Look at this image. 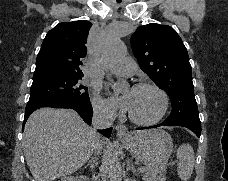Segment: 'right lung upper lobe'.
<instances>
[{"mask_svg":"<svg viewBox=\"0 0 228 181\" xmlns=\"http://www.w3.org/2000/svg\"><path fill=\"white\" fill-rule=\"evenodd\" d=\"M86 20L62 22L50 30L36 59L34 77L56 74L83 75L86 41L91 27Z\"/></svg>","mask_w":228,"mask_h":181,"instance_id":"obj_1","label":"right lung upper lobe"}]
</instances>
